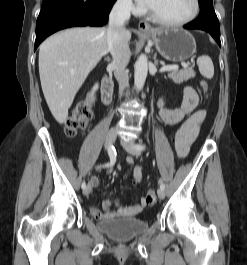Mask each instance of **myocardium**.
Masks as SVG:
<instances>
[{"instance_id": "1", "label": "myocardium", "mask_w": 247, "mask_h": 265, "mask_svg": "<svg viewBox=\"0 0 247 265\" xmlns=\"http://www.w3.org/2000/svg\"><path fill=\"white\" fill-rule=\"evenodd\" d=\"M193 4H194V9L192 13L185 19H182L179 21H171V20L164 19L160 17L159 15H157L156 13H154L151 9H148V15L154 22L160 25H163L165 27H182V26L188 25L191 22H193L200 14V11H201L200 0H193Z\"/></svg>"}]
</instances>
